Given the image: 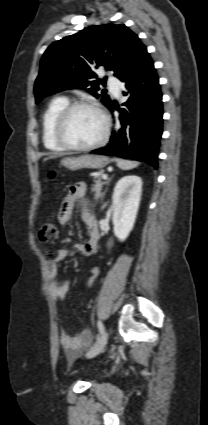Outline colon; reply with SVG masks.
Here are the masks:
<instances>
[{
    "instance_id": "5ec220e1",
    "label": "colon",
    "mask_w": 208,
    "mask_h": 425,
    "mask_svg": "<svg viewBox=\"0 0 208 425\" xmlns=\"http://www.w3.org/2000/svg\"><path fill=\"white\" fill-rule=\"evenodd\" d=\"M56 177V173L51 171L49 173V178L54 179ZM40 239L49 244H53L58 239V229L57 226L53 222L45 223L40 232ZM101 279V271L98 268L91 269L87 275L83 278L82 286L84 288H95Z\"/></svg>"
}]
</instances>
